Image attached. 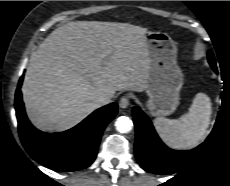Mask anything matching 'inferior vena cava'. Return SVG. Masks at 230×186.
Segmentation results:
<instances>
[{"mask_svg": "<svg viewBox=\"0 0 230 186\" xmlns=\"http://www.w3.org/2000/svg\"><path fill=\"white\" fill-rule=\"evenodd\" d=\"M111 100V97L108 96V95H100L97 97V102L100 104V105H105L107 103H109Z\"/></svg>", "mask_w": 230, "mask_h": 186, "instance_id": "obj_1", "label": "inferior vena cava"}]
</instances>
